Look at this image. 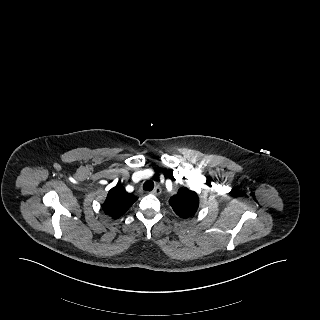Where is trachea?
I'll return each mask as SVG.
<instances>
[{
	"mask_svg": "<svg viewBox=\"0 0 320 320\" xmlns=\"http://www.w3.org/2000/svg\"><path fill=\"white\" fill-rule=\"evenodd\" d=\"M154 188V182L151 180H147L144 184H143V189L145 191H151Z\"/></svg>",
	"mask_w": 320,
	"mask_h": 320,
	"instance_id": "1",
	"label": "trachea"
}]
</instances>
